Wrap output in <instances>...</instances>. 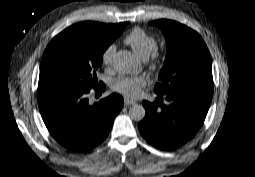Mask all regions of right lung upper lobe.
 Wrapping results in <instances>:
<instances>
[{"label":"right lung upper lobe","instance_id":"obj_1","mask_svg":"<svg viewBox=\"0 0 255 177\" xmlns=\"http://www.w3.org/2000/svg\"><path fill=\"white\" fill-rule=\"evenodd\" d=\"M76 25L88 27L95 30H100L106 33L115 32L119 27V24H103V23H96V22H90V21L81 22Z\"/></svg>","mask_w":255,"mask_h":177}]
</instances>
